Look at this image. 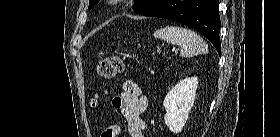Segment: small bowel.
Here are the masks:
<instances>
[{
    "instance_id": "1",
    "label": "small bowel",
    "mask_w": 280,
    "mask_h": 137,
    "mask_svg": "<svg viewBox=\"0 0 280 137\" xmlns=\"http://www.w3.org/2000/svg\"><path fill=\"white\" fill-rule=\"evenodd\" d=\"M108 95L109 92L106 90L95 92L91 106L96 107L98 99ZM112 105L125 119L131 137H145L146 125L142 121L141 115L146 109L147 100L142 88L136 82L126 79L123 82V91L112 97ZM115 128L118 129V125H111L106 131Z\"/></svg>"
}]
</instances>
